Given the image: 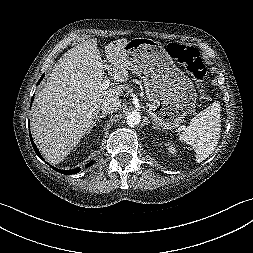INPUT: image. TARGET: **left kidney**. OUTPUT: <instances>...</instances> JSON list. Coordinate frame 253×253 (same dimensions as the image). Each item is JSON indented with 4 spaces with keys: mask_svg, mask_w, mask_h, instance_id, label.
I'll return each mask as SVG.
<instances>
[{
    "mask_svg": "<svg viewBox=\"0 0 253 253\" xmlns=\"http://www.w3.org/2000/svg\"><path fill=\"white\" fill-rule=\"evenodd\" d=\"M165 145H166L169 153H172V154L177 153V149L175 148V146L173 144L166 143Z\"/></svg>",
    "mask_w": 253,
    "mask_h": 253,
    "instance_id": "1",
    "label": "left kidney"
}]
</instances>
